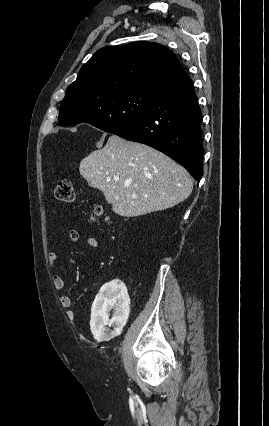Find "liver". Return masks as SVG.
<instances>
[{
	"label": "liver",
	"instance_id": "6515ba94",
	"mask_svg": "<svg viewBox=\"0 0 269 426\" xmlns=\"http://www.w3.org/2000/svg\"><path fill=\"white\" fill-rule=\"evenodd\" d=\"M79 171L124 217L171 208L193 190V181L181 165L150 146L117 135L82 159Z\"/></svg>",
	"mask_w": 269,
	"mask_h": 426
}]
</instances>
